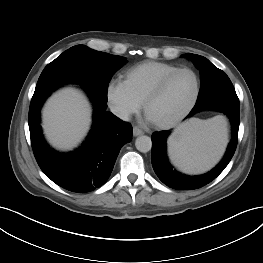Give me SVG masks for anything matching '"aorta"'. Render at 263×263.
I'll return each instance as SVG.
<instances>
[{"label":"aorta","instance_id":"aorta-1","mask_svg":"<svg viewBox=\"0 0 263 263\" xmlns=\"http://www.w3.org/2000/svg\"><path fill=\"white\" fill-rule=\"evenodd\" d=\"M135 147L140 152L143 153L149 152L152 148L151 138L146 135L137 137L135 141Z\"/></svg>","mask_w":263,"mask_h":263}]
</instances>
